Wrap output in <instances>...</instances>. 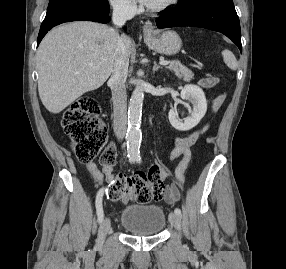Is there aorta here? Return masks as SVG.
I'll return each mask as SVG.
<instances>
[{
    "label": "aorta",
    "mask_w": 286,
    "mask_h": 269,
    "mask_svg": "<svg viewBox=\"0 0 286 269\" xmlns=\"http://www.w3.org/2000/svg\"><path fill=\"white\" fill-rule=\"evenodd\" d=\"M144 91L141 86H137L130 98L128 107V130H127V152L130 157L139 156L142 140L140 130Z\"/></svg>",
    "instance_id": "1"
}]
</instances>
